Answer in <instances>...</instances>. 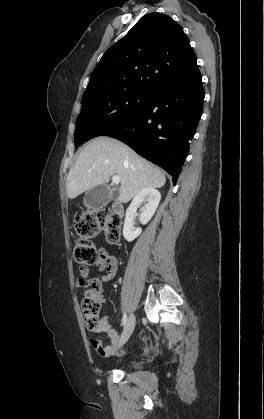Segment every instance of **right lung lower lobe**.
<instances>
[{
	"mask_svg": "<svg viewBox=\"0 0 264 419\" xmlns=\"http://www.w3.org/2000/svg\"><path fill=\"white\" fill-rule=\"evenodd\" d=\"M202 76L151 91L133 115L101 136L116 138L173 176L174 185L202 115Z\"/></svg>",
	"mask_w": 264,
	"mask_h": 419,
	"instance_id": "right-lung-lower-lobe-1",
	"label": "right lung lower lobe"
}]
</instances>
